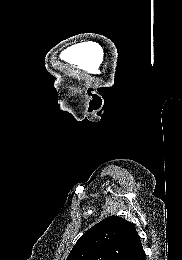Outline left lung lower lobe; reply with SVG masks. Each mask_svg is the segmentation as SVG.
Wrapping results in <instances>:
<instances>
[{
    "instance_id": "1",
    "label": "left lung lower lobe",
    "mask_w": 182,
    "mask_h": 260,
    "mask_svg": "<svg viewBox=\"0 0 182 260\" xmlns=\"http://www.w3.org/2000/svg\"><path fill=\"white\" fill-rule=\"evenodd\" d=\"M122 260H146L140 237L132 244Z\"/></svg>"
}]
</instances>
